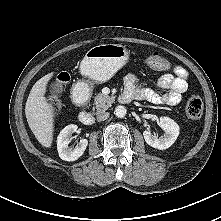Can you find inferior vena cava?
<instances>
[{"label": "inferior vena cava", "instance_id": "obj_1", "mask_svg": "<svg viewBox=\"0 0 221 221\" xmlns=\"http://www.w3.org/2000/svg\"><path fill=\"white\" fill-rule=\"evenodd\" d=\"M109 117V113L108 112H104V113H101L97 116V121H104L106 120L107 118Z\"/></svg>", "mask_w": 221, "mask_h": 221}]
</instances>
